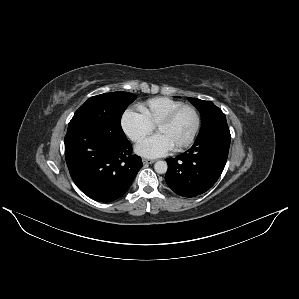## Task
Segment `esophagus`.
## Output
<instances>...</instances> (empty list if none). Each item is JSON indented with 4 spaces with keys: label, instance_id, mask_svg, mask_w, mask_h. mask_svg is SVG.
<instances>
[{
    "label": "esophagus",
    "instance_id": "obj_1",
    "mask_svg": "<svg viewBox=\"0 0 299 299\" xmlns=\"http://www.w3.org/2000/svg\"><path fill=\"white\" fill-rule=\"evenodd\" d=\"M142 161H143L144 164H153L155 162V160L146 159V158H144Z\"/></svg>",
    "mask_w": 299,
    "mask_h": 299
}]
</instances>
